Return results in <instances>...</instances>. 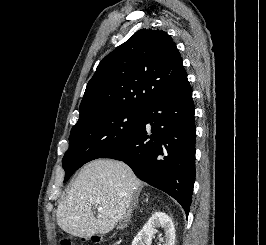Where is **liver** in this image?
I'll return each mask as SVG.
<instances>
[{"mask_svg": "<svg viewBox=\"0 0 266 245\" xmlns=\"http://www.w3.org/2000/svg\"><path fill=\"white\" fill-rule=\"evenodd\" d=\"M140 185L122 161L96 159L87 163L58 205V227L73 237L109 233L126 215ZM97 207L102 211L94 217L93 209Z\"/></svg>", "mask_w": 266, "mask_h": 245, "instance_id": "obj_1", "label": "liver"}]
</instances>
